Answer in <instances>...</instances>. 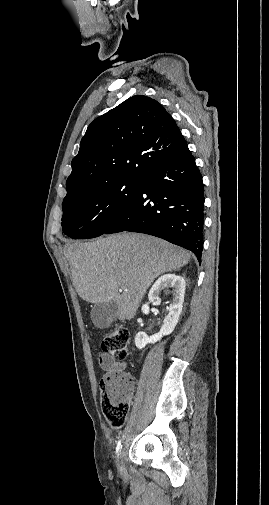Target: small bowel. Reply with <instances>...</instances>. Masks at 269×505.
Masks as SVG:
<instances>
[{"label":"small bowel","mask_w":269,"mask_h":505,"mask_svg":"<svg viewBox=\"0 0 269 505\" xmlns=\"http://www.w3.org/2000/svg\"><path fill=\"white\" fill-rule=\"evenodd\" d=\"M99 363L104 371H106L107 375H113L122 373L125 368V364L123 362L117 361L109 355H100Z\"/></svg>","instance_id":"small-bowel-1"}]
</instances>
